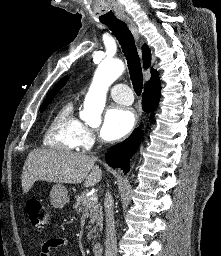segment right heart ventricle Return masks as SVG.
I'll return each instance as SVG.
<instances>
[{"mask_svg":"<svg viewBox=\"0 0 221 256\" xmlns=\"http://www.w3.org/2000/svg\"><path fill=\"white\" fill-rule=\"evenodd\" d=\"M80 121L74 115L71 101L64 103L52 116L47 127L44 144L66 151L77 148V129Z\"/></svg>","mask_w":221,"mask_h":256,"instance_id":"right-heart-ventricle-1","label":"right heart ventricle"}]
</instances>
